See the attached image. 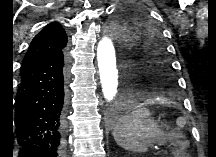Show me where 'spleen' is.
<instances>
[{
	"label": "spleen",
	"mask_w": 216,
	"mask_h": 157,
	"mask_svg": "<svg viewBox=\"0 0 216 157\" xmlns=\"http://www.w3.org/2000/svg\"><path fill=\"white\" fill-rule=\"evenodd\" d=\"M112 134L121 148L133 153L145 152L153 144H164L176 138V135L166 134L146 108H139L121 118Z\"/></svg>",
	"instance_id": "3e777b00"
}]
</instances>
